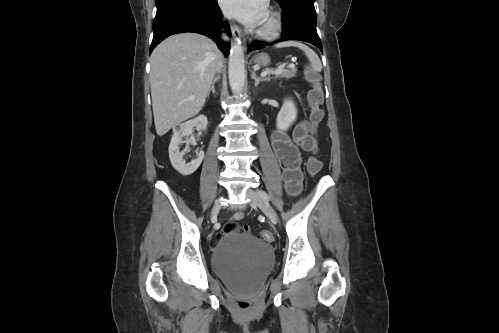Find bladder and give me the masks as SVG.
I'll use <instances>...</instances> for the list:
<instances>
[{
    "instance_id": "1",
    "label": "bladder",
    "mask_w": 499,
    "mask_h": 333,
    "mask_svg": "<svg viewBox=\"0 0 499 333\" xmlns=\"http://www.w3.org/2000/svg\"><path fill=\"white\" fill-rule=\"evenodd\" d=\"M214 272L231 287L245 290L262 281L274 265L273 247L251 234H226L211 255Z\"/></svg>"
}]
</instances>
